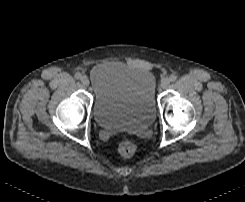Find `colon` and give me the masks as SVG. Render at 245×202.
Instances as JSON below:
<instances>
[{
  "instance_id": "1",
  "label": "colon",
  "mask_w": 245,
  "mask_h": 202,
  "mask_svg": "<svg viewBox=\"0 0 245 202\" xmlns=\"http://www.w3.org/2000/svg\"><path fill=\"white\" fill-rule=\"evenodd\" d=\"M118 151L122 157L132 158L137 152V147L132 141L123 140L118 146Z\"/></svg>"
}]
</instances>
